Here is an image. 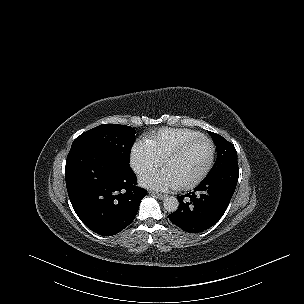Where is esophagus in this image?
I'll list each match as a JSON object with an SVG mask.
<instances>
[{
    "label": "esophagus",
    "instance_id": "obj_1",
    "mask_svg": "<svg viewBox=\"0 0 304 304\" xmlns=\"http://www.w3.org/2000/svg\"><path fill=\"white\" fill-rule=\"evenodd\" d=\"M151 194L156 196L160 200H163L167 197V195H165V194H160V193H156V192H151Z\"/></svg>",
    "mask_w": 304,
    "mask_h": 304
}]
</instances>
